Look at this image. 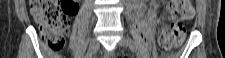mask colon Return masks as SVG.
Masks as SVG:
<instances>
[{
  "label": "colon",
  "instance_id": "5ec220e1",
  "mask_svg": "<svg viewBox=\"0 0 225 58\" xmlns=\"http://www.w3.org/2000/svg\"><path fill=\"white\" fill-rule=\"evenodd\" d=\"M77 11V3L71 0H35L31 4V13L39 26L40 33L53 50L63 47L70 25L68 15ZM192 13L191 0L168 2L171 24L158 35V43L163 50L174 51L182 45L184 40L182 22L189 20ZM119 58H128V54L121 52Z\"/></svg>",
  "mask_w": 225,
  "mask_h": 58
}]
</instances>
